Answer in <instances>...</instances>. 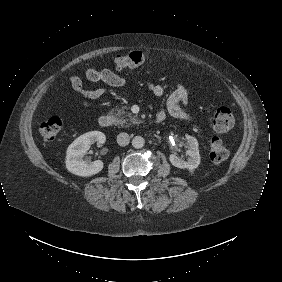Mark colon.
Returning a JSON list of instances; mask_svg holds the SVG:
<instances>
[{
  "label": "colon",
  "mask_w": 282,
  "mask_h": 282,
  "mask_svg": "<svg viewBox=\"0 0 282 282\" xmlns=\"http://www.w3.org/2000/svg\"><path fill=\"white\" fill-rule=\"evenodd\" d=\"M148 60L147 55L141 51H130L128 53L119 54L116 58V67L118 70L135 69ZM212 128L217 136L210 141V157L214 162H222L229 156V150L226 142L220 135L229 132L234 124V116L232 111L227 107H220L213 113ZM62 127V120L58 116H52L44 120L41 124L40 135L45 143L54 141Z\"/></svg>",
  "instance_id": "1"
}]
</instances>
